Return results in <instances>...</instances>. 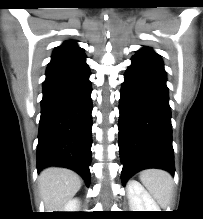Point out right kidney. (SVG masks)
<instances>
[{"label":"right kidney","mask_w":203,"mask_h":219,"mask_svg":"<svg viewBox=\"0 0 203 219\" xmlns=\"http://www.w3.org/2000/svg\"><path fill=\"white\" fill-rule=\"evenodd\" d=\"M80 206V201L77 198L69 200L64 206L62 212H77Z\"/></svg>","instance_id":"obj_1"}]
</instances>
